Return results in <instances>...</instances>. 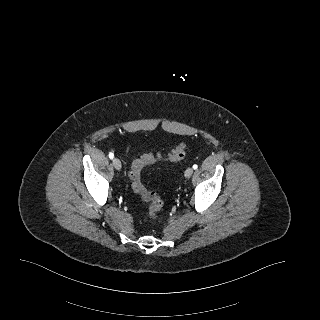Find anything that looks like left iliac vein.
<instances>
[{
	"mask_svg": "<svg viewBox=\"0 0 320 320\" xmlns=\"http://www.w3.org/2000/svg\"><path fill=\"white\" fill-rule=\"evenodd\" d=\"M192 174H193V169L191 167H189V168H187L185 170V174L184 175H185L186 178H190L192 176Z\"/></svg>",
	"mask_w": 320,
	"mask_h": 320,
	"instance_id": "obj_1",
	"label": "left iliac vein"
}]
</instances>
